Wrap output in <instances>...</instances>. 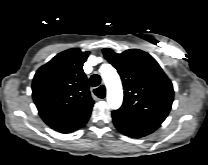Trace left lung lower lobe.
<instances>
[{"label": "left lung lower lobe", "instance_id": "left-lung-lower-lobe-1", "mask_svg": "<svg viewBox=\"0 0 208 165\" xmlns=\"http://www.w3.org/2000/svg\"><path fill=\"white\" fill-rule=\"evenodd\" d=\"M115 127L124 135L141 138L154 132L161 124L134 119L117 111L112 112Z\"/></svg>", "mask_w": 208, "mask_h": 165}]
</instances>
